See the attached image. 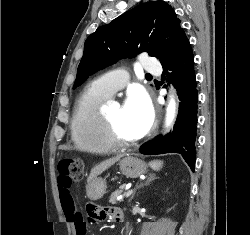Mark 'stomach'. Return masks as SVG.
Here are the masks:
<instances>
[{"label":"stomach","mask_w":250,"mask_h":235,"mask_svg":"<svg viewBox=\"0 0 250 235\" xmlns=\"http://www.w3.org/2000/svg\"><path fill=\"white\" fill-rule=\"evenodd\" d=\"M120 170L128 178H137L147 170L146 164L138 158L127 156L119 161ZM106 182L102 178H94L87 186V196L98 200L106 193Z\"/></svg>","instance_id":"stomach-1"}]
</instances>
